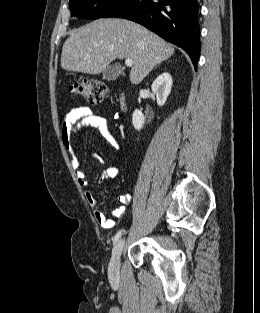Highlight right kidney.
<instances>
[{"label":"right kidney","mask_w":260,"mask_h":313,"mask_svg":"<svg viewBox=\"0 0 260 313\" xmlns=\"http://www.w3.org/2000/svg\"><path fill=\"white\" fill-rule=\"evenodd\" d=\"M172 88V77L168 72L159 75L153 82L151 89L156 95L157 104L163 106L169 96ZM145 122L143 113L136 109L133 112L132 124L136 130H140Z\"/></svg>","instance_id":"ca27d5eb"}]
</instances>
